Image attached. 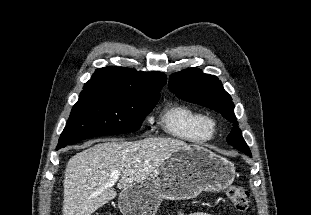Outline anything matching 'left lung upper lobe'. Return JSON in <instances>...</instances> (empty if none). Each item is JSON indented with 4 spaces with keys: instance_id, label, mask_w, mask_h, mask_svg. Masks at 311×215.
<instances>
[{
    "instance_id": "obj_1",
    "label": "left lung upper lobe",
    "mask_w": 311,
    "mask_h": 215,
    "mask_svg": "<svg viewBox=\"0 0 311 215\" xmlns=\"http://www.w3.org/2000/svg\"><path fill=\"white\" fill-rule=\"evenodd\" d=\"M169 89L178 98L219 111L227 120L234 123L226 139L227 143L251 156L250 149L238 127L232 98L223 89L216 76L204 74L197 68H189L170 76Z\"/></svg>"
}]
</instances>
